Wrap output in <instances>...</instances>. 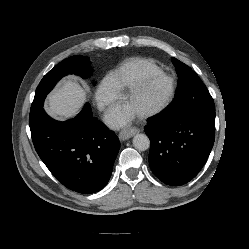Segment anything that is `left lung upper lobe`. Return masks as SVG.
<instances>
[{
  "label": "left lung upper lobe",
  "mask_w": 249,
  "mask_h": 249,
  "mask_svg": "<svg viewBox=\"0 0 249 249\" xmlns=\"http://www.w3.org/2000/svg\"><path fill=\"white\" fill-rule=\"evenodd\" d=\"M172 62L179 78L178 86L172 103L161 115L171 120L187 113L215 110L213 99L197 73L174 57Z\"/></svg>",
  "instance_id": "left-lung-upper-lobe-1"
}]
</instances>
